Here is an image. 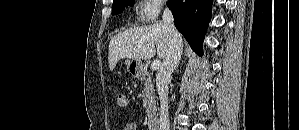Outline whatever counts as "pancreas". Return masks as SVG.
<instances>
[{"instance_id":"pancreas-1","label":"pancreas","mask_w":299,"mask_h":130,"mask_svg":"<svg viewBox=\"0 0 299 130\" xmlns=\"http://www.w3.org/2000/svg\"><path fill=\"white\" fill-rule=\"evenodd\" d=\"M144 88H143V107L147 113V116L152 117L157 110L156 100H155V90L153 84L151 83V78L149 75L142 76L141 78Z\"/></svg>"}]
</instances>
